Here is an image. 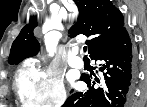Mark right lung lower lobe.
<instances>
[{
  "instance_id": "right-lung-lower-lobe-1",
  "label": "right lung lower lobe",
  "mask_w": 147,
  "mask_h": 107,
  "mask_svg": "<svg viewBox=\"0 0 147 107\" xmlns=\"http://www.w3.org/2000/svg\"><path fill=\"white\" fill-rule=\"evenodd\" d=\"M100 61L101 80L82 75L81 80L89 89L72 94L63 107H129L136 81V59L129 34L124 27L120 33L91 55Z\"/></svg>"
}]
</instances>
